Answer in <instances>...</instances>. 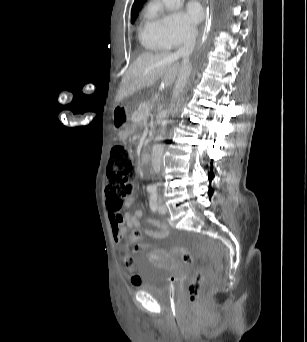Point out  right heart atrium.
<instances>
[{
    "instance_id": "d8ad5b80",
    "label": "right heart atrium",
    "mask_w": 307,
    "mask_h": 342,
    "mask_svg": "<svg viewBox=\"0 0 307 342\" xmlns=\"http://www.w3.org/2000/svg\"><path fill=\"white\" fill-rule=\"evenodd\" d=\"M191 32V29L180 21L177 14H162L155 18L152 31L146 34L160 40L168 47H177Z\"/></svg>"
}]
</instances>
